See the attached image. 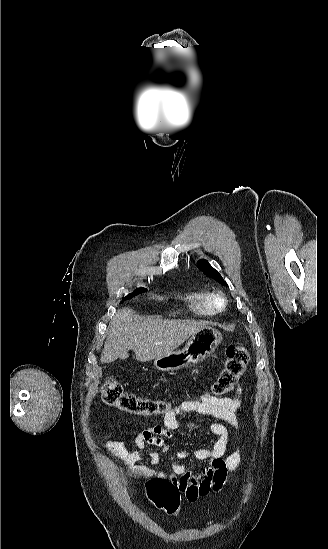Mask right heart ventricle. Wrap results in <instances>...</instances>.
Wrapping results in <instances>:
<instances>
[{
  "label": "right heart ventricle",
  "instance_id": "obj_1",
  "mask_svg": "<svg viewBox=\"0 0 328 549\" xmlns=\"http://www.w3.org/2000/svg\"><path fill=\"white\" fill-rule=\"evenodd\" d=\"M190 311L197 317H212L214 311L212 294L207 290H195L188 295Z\"/></svg>",
  "mask_w": 328,
  "mask_h": 549
}]
</instances>
